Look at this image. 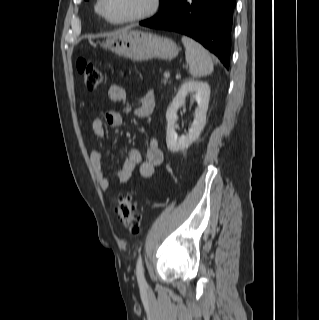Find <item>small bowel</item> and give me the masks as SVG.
<instances>
[{
  "instance_id": "1",
  "label": "small bowel",
  "mask_w": 319,
  "mask_h": 320,
  "mask_svg": "<svg viewBox=\"0 0 319 320\" xmlns=\"http://www.w3.org/2000/svg\"><path fill=\"white\" fill-rule=\"evenodd\" d=\"M108 97L114 104L122 103L126 98V91L120 85H111L108 90ZM155 106V98L152 91H148L142 98L140 105L135 108L134 114L140 118L149 117ZM105 124L110 127L118 128L123 124V117L117 110H108L105 113L104 120L96 118L92 122L93 134L99 138H106ZM104 153L100 150L92 151L90 154V163L94 171L95 178L101 189L107 190L110 187V175L106 173L102 166ZM163 161L162 152L154 138L150 139L149 146L143 158L142 153L137 150H131L124 159L119 171L115 173V177L120 184L127 183L136 168L143 178H150L155 168L161 165Z\"/></svg>"
}]
</instances>
